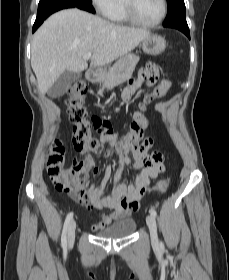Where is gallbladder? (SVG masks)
I'll use <instances>...</instances> for the list:
<instances>
[{"label":"gallbladder","instance_id":"bac80fb5","mask_svg":"<svg viewBox=\"0 0 229 280\" xmlns=\"http://www.w3.org/2000/svg\"><path fill=\"white\" fill-rule=\"evenodd\" d=\"M81 77L80 72L64 71L58 80L50 87L48 94L52 98L61 97L69 86Z\"/></svg>","mask_w":229,"mask_h":280}]
</instances>
